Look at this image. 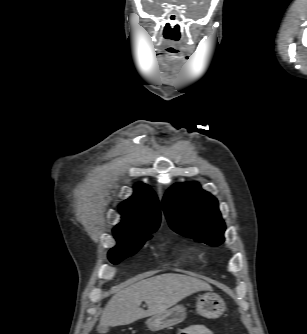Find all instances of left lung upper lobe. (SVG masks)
<instances>
[{
	"instance_id": "left-lung-upper-lobe-1",
	"label": "left lung upper lobe",
	"mask_w": 307,
	"mask_h": 334,
	"mask_svg": "<svg viewBox=\"0 0 307 334\" xmlns=\"http://www.w3.org/2000/svg\"><path fill=\"white\" fill-rule=\"evenodd\" d=\"M162 205L175 232L214 247L224 241L225 223L218 201L197 182L174 184L166 192Z\"/></svg>"
}]
</instances>
